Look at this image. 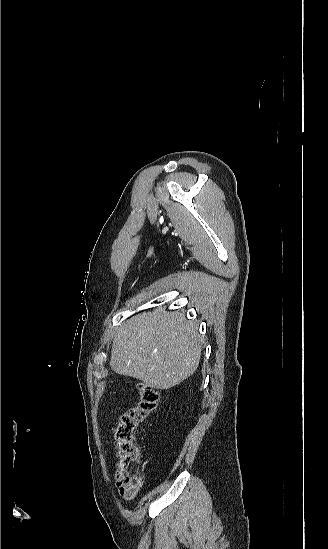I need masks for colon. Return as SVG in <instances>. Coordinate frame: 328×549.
<instances>
[{
  "label": "colon",
  "mask_w": 328,
  "mask_h": 549,
  "mask_svg": "<svg viewBox=\"0 0 328 549\" xmlns=\"http://www.w3.org/2000/svg\"><path fill=\"white\" fill-rule=\"evenodd\" d=\"M139 403L123 413L114 430V440L118 449L117 486L120 495L133 499L142 485L139 464V448L136 432L141 423L157 408L159 393L154 388L140 384Z\"/></svg>",
  "instance_id": "1"
}]
</instances>
